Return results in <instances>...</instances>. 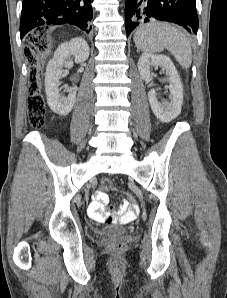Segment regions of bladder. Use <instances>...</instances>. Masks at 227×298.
Masks as SVG:
<instances>
[{
  "label": "bladder",
  "instance_id": "31cf9c89",
  "mask_svg": "<svg viewBox=\"0 0 227 298\" xmlns=\"http://www.w3.org/2000/svg\"><path fill=\"white\" fill-rule=\"evenodd\" d=\"M125 231H126V228L122 226H106L101 228L98 231V234L102 236H119L124 234Z\"/></svg>",
  "mask_w": 227,
  "mask_h": 298
}]
</instances>
